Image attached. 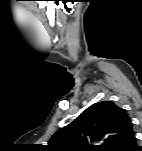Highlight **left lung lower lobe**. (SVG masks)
Wrapping results in <instances>:
<instances>
[{
  "mask_svg": "<svg viewBox=\"0 0 142 151\" xmlns=\"http://www.w3.org/2000/svg\"><path fill=\"white\" fill-rule=\"evenodd\" d=\"M120 151H142V148L137 146L135 133L125 142Z\"/></svg>",
  "mask_w": 142,
  "mask_h": 151,
  "instance_id": "obj_1",
  "label": "left lung lower lobe"
}]
</instances>
